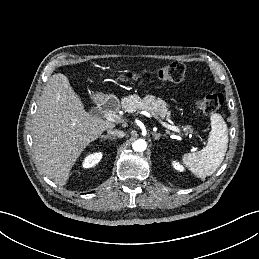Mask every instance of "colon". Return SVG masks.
Wrapping results in <instances>:
<instances>
[{
    "instance_id": "obj_1",
    "label": "colon",
    "mask_w": 259,
    "mask_h": 259,
    "mask_svg": "<svg viewBox=\"0 0 259 259\" xmlns=\"http://www.w3.org/2000/svg\"><path fill=\"white\" fill-rule=\"evenodd\" d=\"M185 66L180 62H172L164 65L156 72V77L164 82L180 83L185 77ZM150 72L139 74L136 72L126 71L118 75L120 81H137L141 77H151ZM223 104V96L221 93H212L195 101V106L206 114L216 113Z\"/></svg>"
}]
</instances>
